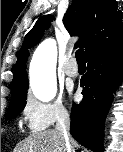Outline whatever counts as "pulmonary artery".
<instances>
[{
  "label": "pulmonary artery",
  "mask_w": 123,
  "mask_h": 152,
  "mask_svg": "<svg viewBox=\"0 0 123 152\" xmlns=\"http://www.w3.org/2000/svg\"><path fill=\"white\" fill-rule=\"evenodd\" d=\"M64 72L67 76L75 77L78 74V66L75 59H71L64 67Z\"/></svg>",
  "instance_id": "obj_1"
}]
</instances>
